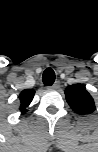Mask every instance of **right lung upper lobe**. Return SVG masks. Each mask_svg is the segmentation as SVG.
<instances>
[{"mask_svg": "<svg viewBox=\"0 0 98 152\" xmlns=\"http://www.w3.org/2000/svg\"><path fill=\"white\" fill-rule=\"evenodd\" d=\"M34 94V90H23L20 93V111L22 112V114H25L28 111L26 108L30 105L31 101L33 100Z\"/></svg>", "mask_w": 98, "mask_h": 152, "instance_id": "1", "label": "right lung upper lobe"}]
</instances>
